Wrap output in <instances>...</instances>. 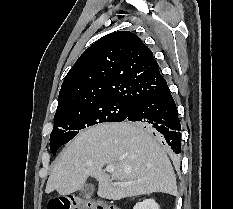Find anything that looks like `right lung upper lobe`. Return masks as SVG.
<instances>
[{
	"label": "right lung upper lobe",
	"mask_w": 233,
	"mask_h": 209,
	"mask_svg": "<svg viewBox=\"0 0 233 209\" xmlns=\"http://www.w3.org/2000/svg\"><path fill=\"white\" fill-rule=\"evenodd\" d=\"M166 85L142 40L129 31L114 32L91 45L67 73L55 115L107 98L136 104Z\"/></svg>",
	"instance_id": "cb5924a9"
}]
</instances>
